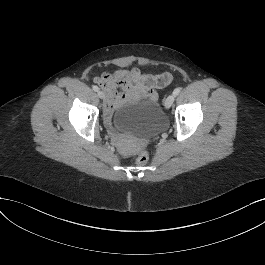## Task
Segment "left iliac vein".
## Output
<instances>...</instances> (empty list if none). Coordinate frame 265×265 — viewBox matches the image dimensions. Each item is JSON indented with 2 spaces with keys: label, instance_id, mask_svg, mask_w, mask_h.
I'll use <instances>...</instances> for the list:
<instances>
[{
  "label": "left iliac vein",
  "instance_id": "left-iliac-vein-1",
  "mask_svg": "<svg viewBox=\"0 0 265 265\" xmlns=\"http://www.w3.org/2000/svg\"><path fill=\"white\" fill-rule=\"evenodd\" d=\"M174 100H175V95L174 94L169 95L164 102L165 108L169 109L172 106Z\"/></svg>",
  "mask_w": 265,
  "mask_h": 265
}]
</instances>
